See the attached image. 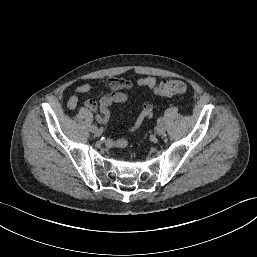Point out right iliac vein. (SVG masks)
<instances>
[{
    "instance_id": "right-iliac-vein-1",
    "label": "right iliac vein",
    "mask_w": 257,
    "mask_h": 257,
    "mask_svg": "<svg viewBox=\"0 0 257 257\" xmlns=\"http://www.w3.org/2000/svg\"><path fill=\"white\" fill-rule=\"evenodd\" d=\"M93 133H94V135H95L96 137H99V136L102 135V130H101V129H96L95 131H93Z\"/></svg>"
}]
</instances>
